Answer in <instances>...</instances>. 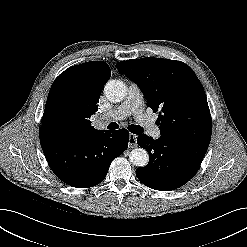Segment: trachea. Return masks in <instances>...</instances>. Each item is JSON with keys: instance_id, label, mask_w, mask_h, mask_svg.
<instances>
[{"instance_id": "trachea-1", "label": "trachea", "mask_w": 247, "mask_h": 247, "mask_svg": "<svg viewBox=\"0 0 247 247\" xmlns=\"http://www.w3.org/2000/svg\"><path fill=\"white\" fill-rule=\"evenodd\" d=\"M119 128V125L115 122H111L108 126H107V129H110V130H115V129H118ZM128 130L133 133V134H140L143 132V128L139 125H129L128 126Z\"/></svg>"}]
</instances>
